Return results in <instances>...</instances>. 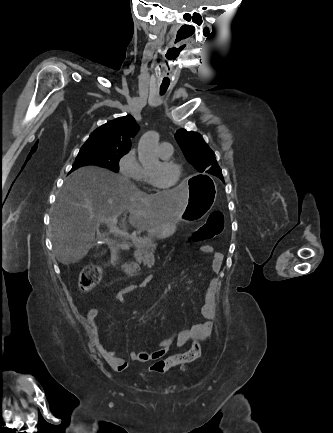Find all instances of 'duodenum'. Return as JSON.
<instances>
[{
    "mask_svg": "<svg viewBox=\"0 0 333 433\" xmlns=\"http://www.w3.org/2000/svg\"><path fill=\"white\" fill-rule=\"evenodd\" d=\"M122 263L125 261L123 258L120 260ZM125 268H132V267H134V269H132V271H131V274H133V275H135L137 272H138V269H137V267H138V264L137 263H134V264H132V263H125L124 265H123Z\"/></svg>",
    "mask_w": 333,
    "mask_h": 433,
    "instance_id": "1",
    "label": "duodenum"
}]
</instances>
